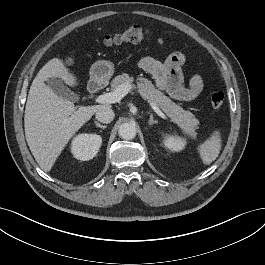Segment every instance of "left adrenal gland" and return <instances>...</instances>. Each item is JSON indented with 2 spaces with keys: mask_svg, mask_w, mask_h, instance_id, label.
Segmentation results:
<instances>
[{
  "mask_svg": "<svg viewBox=\"0 0 265 265\" xmlns=\"http://www.w3.org/2000/svg\"><path fill=\"white\" fill-rule=\"evenodd\" d=\"M150 114V120H149V125H153V124H155V123H157V121L156 120H154V117H153V115H152V113H149Z\"/></svg>",
  "mask_w": 265,
  "mask_h": 265,
  "instance_id": "left-adrenal-gland-1",
  "label": "left adrenal gland"
}]
</instances>
